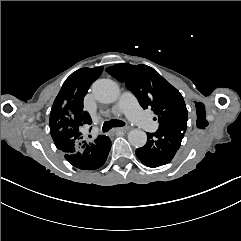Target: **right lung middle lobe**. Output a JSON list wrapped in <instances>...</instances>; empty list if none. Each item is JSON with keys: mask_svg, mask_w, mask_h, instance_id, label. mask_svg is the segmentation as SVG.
<instances>
[{"mask_svg": "<svg viewBox=\"0 0 241 241\" xmlns=\"http://www.w3.org/2000/svg\"><path fill=\"white\" fill-rule=\"evenodd\" d=\"M87 70H88V68L79 69V71H80L81 73H85Z\"/></svg>", "mask_w": 241, "mask_h": 241, "instance_id": "obj_1", "label": "right lung middle lobe"}]
</instances>
